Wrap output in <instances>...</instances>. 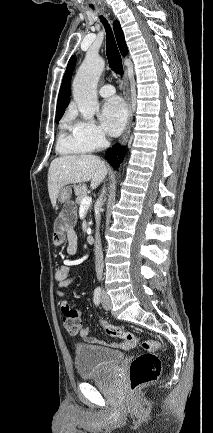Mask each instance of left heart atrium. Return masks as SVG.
I'll use <instances>...</instances> for the list:
<instances>
[{"mask_svg":"<svg viewBox=\"0 0 213 433\" xmlns=\"http://www.w3.org/2000/svg\"><path fill=\"white\" fill-rule=\"evenodd\" d=\"M101 121L105 130L112 136H118L123 131L127 121V110L120 98L114 97L104 103Z\"/></svg>","mask_w":213,"mask_h":433,"instance_id":"1","label":"left heart atrium"}]
</instances>
